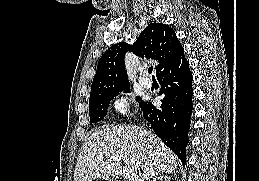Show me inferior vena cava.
Listing matches in <instances>:
<instances>
[{
	"label": "inferior vena cava",
	"instance_id": "inferior-vena-cava-1",
	"mask_svg": "<svg viewBox=\"0 0 259 181\" xmlns=\"http://www.w3.org/2000/svg\"><path fill=\"white\" fill-rule=\"evenodd\" d=\"M139 181H145V178H140Z\"/></svg>",
	"mask_w": 259,
	"mask_h": 181
}]
</instances>
